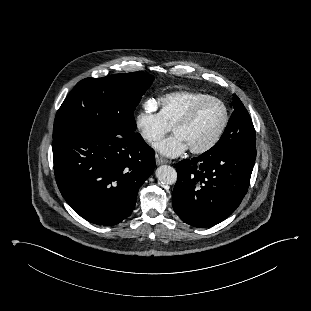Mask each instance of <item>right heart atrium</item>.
Returning <instances> with one entry per match:
<instances>
[{
  "instance_id": "right-heart-atrium-1",
  "label": "right heart atrium",
  "mask_w": 311,
  "mask_h": 311,
  "mask_svg": "<svg viewBox=\"0 0 311 311\" xmlns=\"http://www.w3.org/2000/svg\"><path fill=\"white\" fill-rule=\"evenodd\" d=\"M134 124L139 136L149 145L155 144L171 129L160 116L153 100L144 103L135 115Z\"/></svg>"
}]
</instances>
